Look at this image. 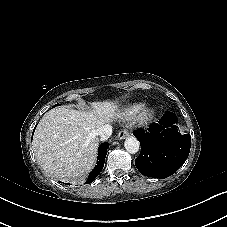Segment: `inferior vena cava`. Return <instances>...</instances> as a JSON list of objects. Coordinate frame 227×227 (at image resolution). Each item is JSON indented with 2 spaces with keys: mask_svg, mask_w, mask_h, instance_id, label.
Here are the masks:
<instances>
[{
  "mask_svg": "<svg viewBox=\"0 0 227 227\" xmlns=\"http://www.w3.org/2000/svg\"><path fill=\"white\" fill-rule=\"evenodd\" d=\"M96 135L100 141H106L112 135V126L105 124L96 129Z\"/></svg>",
  "mask_w": 227,
  "mask_h": 227,
  "instance_id": "602c4592",
  "label": "inferior vena cava"
}]
</instances>
